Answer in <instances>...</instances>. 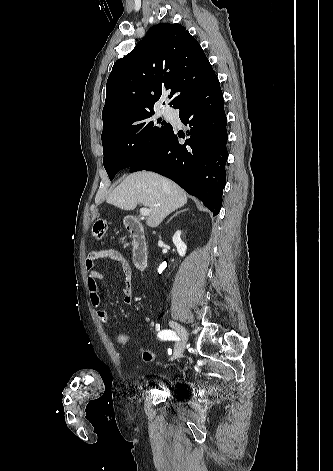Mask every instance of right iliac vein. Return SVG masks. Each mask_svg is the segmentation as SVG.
I'll list each match as a JSON object with an SVG mask.
<instances>
[{
  "mask_svg": "<svg viewBox=\"0 0 333 471\" xmlns=\"http://www.w3.org/2000/svg\"><path fill=\"white\" fill-rule=\"evenodd\" d=\"M169 324L181 338V340L176 343L173 356L171 357V360H174L181 357L185 348L186 340L188 338V333L186 329L177 322L170 321Z\"/></svg>",
  "mask_w": 333,
  "mask_h": 471,
  "instance_id": "63e3f726",
  "label": "right iliac vein"
}]
</instances>
